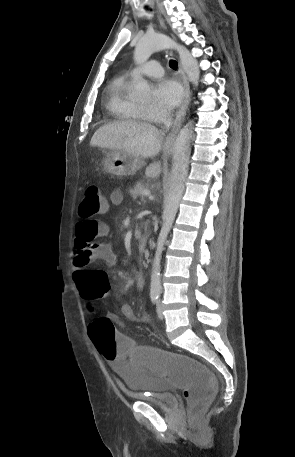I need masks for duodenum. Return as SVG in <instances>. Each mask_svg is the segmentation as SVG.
Listing matches in <instances>:
<instances>
[{
  "instance_id": "1",
  "label": "duodenum",
  "mask_w": 295,
  "mask_h": 457,
  "mask_svg": "<svg viewBox=\"0 0 295 457\" xmlns=\"http://www.w3.org/2000/svg\"><path fill=\"white\" fill-rule=\"evenodd\" d=\"M147 245V238L142 236L139 240V250L144 251Z\"/></svg>"
}]
</instances>
